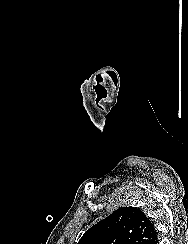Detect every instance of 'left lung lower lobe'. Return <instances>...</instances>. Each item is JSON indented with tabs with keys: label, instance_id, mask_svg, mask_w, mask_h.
I'll list each match as a JSON object with an SVG mask.
<instances>
[{
	"label": "left lung lower lobe",
	"instance_id": "obj_1",
	"mask_svg": "<svg viewBox=\"0 0 188 244\" xmlns=\"http://www.w3.org/2000/svg\"><path fill=\"white\" fill-rule=\"evenodd\" d=\"M152 244H158V238H156Z\"/></svg>",
	"mask_w": 188,
	"mask_h": 244
}]
</instances>
